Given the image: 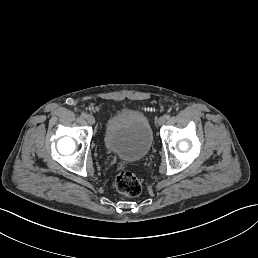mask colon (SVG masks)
Instances as JSON below:
<instances>
[{"label":"colon","instance_id":"obj_1","mask_svg":"<svg viewBox=\"0 0 258 258\" xmlns=\"http://www.w3.org/2000/svg\"><path fill=\"white\" fill-rule=\"evenodd\" d=\"M115 187L123 195L135 197L141 192V183L130 170L128 164L119 163L116 167Z\"/></svg>","mask_w":258,"mask_h":258}]
</instances>
